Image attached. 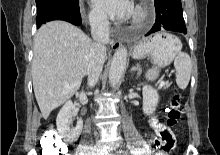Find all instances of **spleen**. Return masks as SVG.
I'll use <instances>...</instances> for the list:
<instances>
[{
	"label": "spleen",
	"instance_id": "spleen-1",
	"mask_svg": "<svg viewBox=\"0 0 220 155\" xmlns=\"http://www.w3.org/2000/svg\"><path fill=\"white\" fill-rule=\"evenodd\" d=\"M176 69V83L182 90L186 89L191 76L192 62L190 56L185 52H179L174 60Z\"/></svg>",
	"mask_w": 220,
	"mask_h": 155
}]
</instances>
